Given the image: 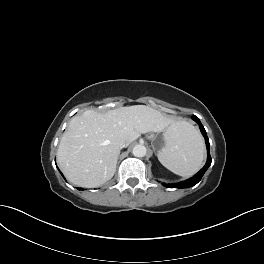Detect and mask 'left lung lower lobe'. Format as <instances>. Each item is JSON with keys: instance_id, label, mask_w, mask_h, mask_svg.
Returning <instances> with one entry per match:
<instances>
[{"instance_id": "left-lung-lower-lobe-1", "label": "left lung lower lobe", "mask_w": 264, "mask_h": 264, "mask_svg": "<svg viewBox=\"0 0 264 264\" xmlns=\"http://www.w3.org/2000/svg\"><path fill=\"white\" fill-rule=\"evenodd\" d=\"M192 119L199 124V128H200V130H201V132L205 138V142H206V146H207V152H208L207 162H206L205 166L196 175H194L190 179L176 183V184L162 183L163 186H166L169 188H189V187H192V186L196 185L201 180L202 176L204 175V173L206 172L208 167L211 165L212 159H211L210 151H209L210 144H209V139L207 137L206 131H205V129H204L203 125L201 124L198 117L194 116V117H192Z\"/></svg>"}]
</instances>
